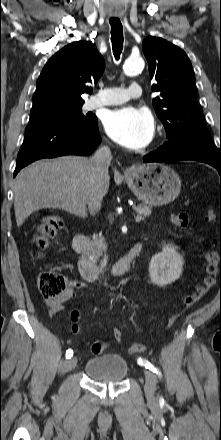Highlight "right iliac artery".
Instances as JSON below:
<instances>
[{
	"instance_id": "1",
	"label": "right iliac artery",
	"mask_w": 221,
	"mask_h": 440,
	"mask_svg": "<svg viewBox=\"0 0 221 440\" xmlns=\"http://www.w3.org/2000/svg\"><path fill=\"white\" fill-rule=\"evenodd\" d=\"M73 356V351L71 349L66 351V358L70 359Z\"/></svg>"
}]
</instances>
